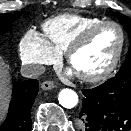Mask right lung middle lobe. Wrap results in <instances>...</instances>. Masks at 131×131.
Masks as SVG:
<instances>
[{
	"label": "right lung middle lobe",
	"instance_id": "right-lung-middle-lobe-1",
	"mask_svg": "<svg viewBox=\"0 0 131 131\" xmlns=\"http://www.w3.org/2000/svg\"><path fill=\"white\" fill-rule=\"evenodd\" d=\"M21 16V12H16L11 15L10 13L0 14V35L5 33L10 27L11 23L16 21Z\"/></svg>",
	"mask_w": 131,
	"mask_h": 131
}]
</instances>
